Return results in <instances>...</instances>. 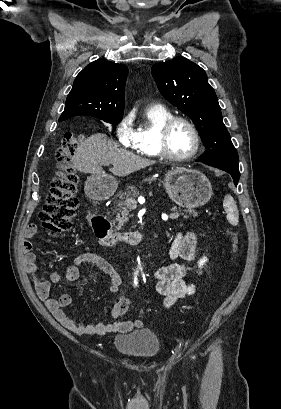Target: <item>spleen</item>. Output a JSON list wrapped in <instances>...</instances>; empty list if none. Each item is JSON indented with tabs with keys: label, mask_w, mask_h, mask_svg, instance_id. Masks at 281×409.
Here are the masks:
<instances>
[{
	"label": "spleen",
	"mask_w": 281,
	"mask_h": 409,
	"mask_svg": "<svg viewBox=\"0 0 281 409\" xmlns=\"http://www.w3.org/2000/svg\"><path fill=\"white\" fill-rule=\"evenodd\" d=\"M224 211L227 213V221L233 227L239 223V211L236 202L231 194H226L223 200Z\"/></svg>",
	"instance_id": "obj_1"
}]
</instances>
